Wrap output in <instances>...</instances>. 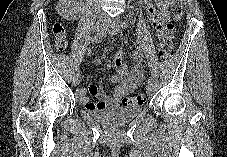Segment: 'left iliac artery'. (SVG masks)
<instances>
[{"label":"left iliac artery","instance_id":"1","mask_svg":"<svg viewBox=\"0 0 227 157\" xmlns=\"http://www.w3.org/2000/svg\"><path fill=\"white\" fill-rule=\"evenodd\" d=\"M129 25V22L126 20V21H123L122 22V24H121V26H122V28H125V27H127ZM154 82V79L153 78H149L148 79V83H153Z\"/></svg>","mask_w":227,"mask_h":157}]
</instances>
